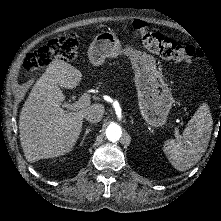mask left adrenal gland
Here are the masks:
<instances>
[{
    "instance_id": "obj_1",
    "label": "left adrenal gland",
    "mask_w": 221,
    "mask_h": 221,
    "mask_svg": "<svg viewBox=\"0 0 221 221\" xmlns=\"http://www.w3.org/2000/svg\"><path fill=\"white\" fill-rule=\"evenodd\" d=\"M131 123H133V119H131Z\"/></svg>"
}]
</instances>
